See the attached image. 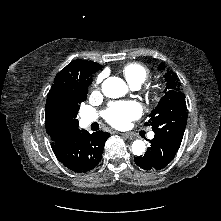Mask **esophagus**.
Returning <instances> with one entry per match:
<instances>
[{
	"label": "esophagus",
	"mask_w": 221,
	"mask_h": 221,
	"mask_svg": "<svg viewBox=\"0 0 221 221\" xmlns=\"http://www.w3.org/2000/svg\"><path fill=\"white\" fill-rule=\"evenodd\" d=\"M121 136L126 139H133L134 138V136L130 133H121Z\"/></svg>",
	"instance_id": "esophagus-1"
}]
</instances>
